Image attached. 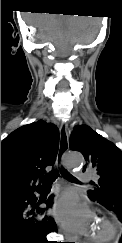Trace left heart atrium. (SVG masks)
Here are the masks:
<instances>
[{
    "label": "left heart atrium",
    "mask_w": 122,
    "mask_h": 243,
    "mask_svg": "<svg viewBox=\"0 0 122 243\" xmlns=\"http://www.w3.org/2000/svg\"><path fill=\"white\" fill-rule=\"evenodd\" d=\"M55 215L63 225L72 232L88 233L93 225L92 211L81 204L74 196H65L59 200L54 209Z\"/></svg>",
    "instance_id": "left-heart-atrium-1"
}]
</instances>
